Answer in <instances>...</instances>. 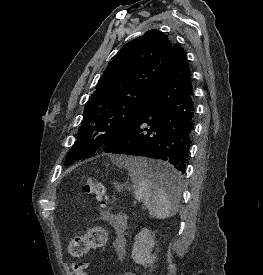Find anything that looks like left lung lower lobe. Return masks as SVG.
Listing matches in <instances>:
<instances>
[{
  "instance_id": "obj_1",
  "label": "left lung lower lobe",
  "mask_w": 263,
  "mask_h": 275,
  "mask_svg": "<svg viewBox=\"0 0 263 275\" xmlns=\"http://www.w3.org/2000/svg\"><path fill=\"white\" fill-rule=\"evenodd\" d=\"M195 103L184 50L177 49L166 76L128 131L105 145L106 153L169 162L170 169L146 170L150 179L172 192L185 173L193 136Z\"/></svg>"
}]
</instances>
